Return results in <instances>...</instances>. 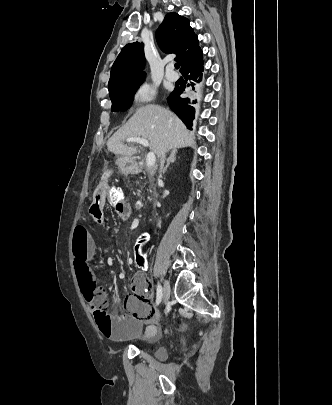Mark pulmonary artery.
Returning a JSON list of instances; mask_svg holds the SVG:
<instances>
[{"instance_id":"obj_1","label":"pulmonary artery","mask_w":332,"mask_h":405,"mask_svg":"<svg viewBox=\"0 0 332 405\" xmlns=\"http://www.w3.org/2000/svg\"><path fill=\"white\" fill-rule=\"evenodd\" d=\"M165 77L169 81H176L178 79V74L175 71H173V66L172 65L167 66V69H166V72H165Z\"/></svg>"}]
</instances>
